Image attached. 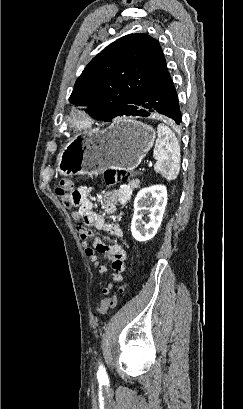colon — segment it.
Wrapping results in <instances>:
<instances>
[{"label":"colon","instance_id":"obj_1","mask_svg":"<svg viewBox=\"0 0 243 409\" xmlns=\"http://www.w3.org/2000/svg\"><path fill=\"white\" fill-rule=\"evenodd\" d=\"M134 175L133 171L129 169H108L104 173V180L108 186H114L120 182L128 181ZM55 193L60 201L68 208H73L79 204V196L77 190L73 188L70 180H61L55 189ZM127 285L119 287L111 297L102 300L97 308L99 315H105L109 310L115 308L118 304V298L120 294H123Z\"/></svg>","mask_w":243,"mask_h":409}]
</instances>
